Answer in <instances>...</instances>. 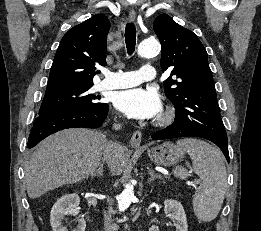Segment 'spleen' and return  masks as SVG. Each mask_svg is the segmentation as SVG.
Returning <instances> with one entry per match:
<instances>
[{"label": "spleen", "mask_w": 261, "mask_h": 231, "mask_svg": "<svg viewBox=\"0 0 261 231\" xmlns=\"http://www.w3.org/2000/svg\"><path fill=\"white\" fill-rule=\"evenodd\" d=\"M177 145L189 154L193 170L201 180L193 196L194 213L201 221H212L221 209L227 188L224 157L218 149L203 140L187 138L178 140ZM173 173L181 179L189 175L183 167H176Z\"/></svg>", "instance_id": "obj_1"}]
</instances>
